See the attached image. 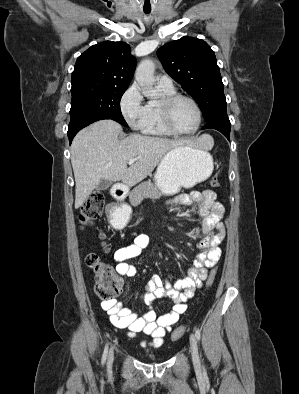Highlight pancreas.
Listing matches in <instances>:
<instances>
[{
    "instance_id": "pancreas-1",
    "label": "pancreas",
    "mask_w": 299,
    "mask_h": 394,
    "mask_svg": "<svg viewBox=\"0 0 299 394\" xmlns=\"http://www.w3.org/2000/svg\"><path fill=\"white\" fill-rule=\"evenodd\" d=\"M135 195H138L140 197V199H143V198L157 199L161 196V193L156 189L155 185L153 183H151V181H146V182L141 183L132 193V195H131L132 203H134L133 197Z\"/></svg>"
}]
</instances>
